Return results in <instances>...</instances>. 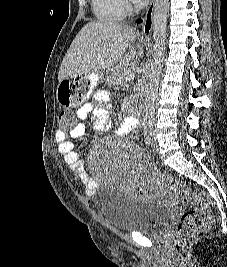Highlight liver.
Masks as SVG:
<instances>
[{"label":"liver","instance_id":"1","mask_svg":"<svg viewBox=\"0 0 227 267\" xmlns=\"http://www.w3.org/2000/svg\"><path fill=\"white\" fill-rule=\"evenodd\" d=\"M136 29L117 22H89L76 35L63 58L58 80L98 73L118 65L126 68L137 55L131 48ZM129 49V52L126 51Z\"/></svg>","mask_w":227,"mask_h":267}]
</instances>
